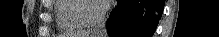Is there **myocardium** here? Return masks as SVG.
Masks as SVG:
<instances>
[{
    "instance_id": "1",
    "label": "myocardium",
    "mask_w": 219,
    "mask_h": 37,
    "mask_svg": "<svg viewBox=\"0 0 219 37\" xmlns=\"http://www.w3.org/2000/svg\"><path fill=\"white\" fill-rule=\"evenodd\" d=\"M90 2H99L98 0H81L80 8H79V14L86 25L88 26H95L100 24L106 17L108 6L101 5L102 10L97 16H92L88 13V7L87 4Z\"/></svg>"
}]
</instances>
